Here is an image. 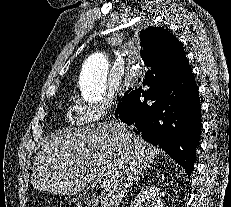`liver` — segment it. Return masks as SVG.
<instances>
[{"label": "liver", "mask_w": 231, "mask_h": 207, "mask_svg": "<svg viewBox=\"0 0 231 207\" xmlns=\"http://www.w3.org/2000/svg\"><path fill=\"white\" fill-rule=\"evenodd\" d=\"M41 147L32 168L34 189L71 196L99 180L102 207H118L127 188L161 152L114 121L58 131Z\"/></svg>", "instance_id": "liver-1"}]
</instances>
